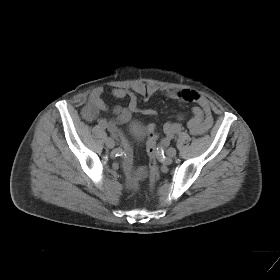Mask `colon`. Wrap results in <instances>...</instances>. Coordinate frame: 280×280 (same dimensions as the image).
Instances as JSON below:
<instances>
[{
    "label": "colon",
    "instance_id": "1",
    "mask_svg": "<svg viewBox=\"0 0 280 280\" xmlns=\"http://www.w3.org/2000/svg\"><path fill=\"white\" fill-rule=\"evenodd\" d=\"M157 139H158V134L155 132H151L148 136V140L146 144V150L149 158L148 177L151 186L154 185L158 177L157 157L159 153V148L157 146Z\"/></svg>",
    "mask_w": 280,
    "mask_h": 280
}]
</instances>
